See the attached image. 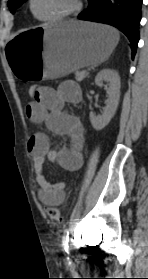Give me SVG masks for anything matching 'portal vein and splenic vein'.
<instances>
[{
  "instance_id": "portal-vein-and-splenic-vein-1",
  "label": "portal vein and splenic vein",
  "mask_w": 148,
  "mask_h": 279,
  "mask_svg": "<svg viewBox=\"0 0 148 279\" xmlns=\"http://www.w3.org/2000/svg\"><path fill=\"white\" fill-rule=\"evenodd\" d=\"M86 75H87V72L86 71H82L81 77H85Z\"/></svg>"
}]
</instances>
